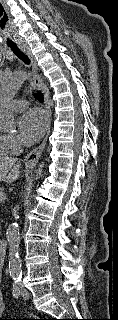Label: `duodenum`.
<instances>
[{
    "label": "duodenum",
    "instance_id": "duodenum-1",
    "mask_svg": "<svg viewBox=\"0 0 118 320\" xmlns=\"http://www.w3.org/2000/svg\"><path fill=\"white\" fill-rule=\"evenodd\" d=\"M7 250V242L0 240V265L3 266Z\"/></svg>",
    "mask_w": 118,
    "mask_h": 320
}]
</instances>
